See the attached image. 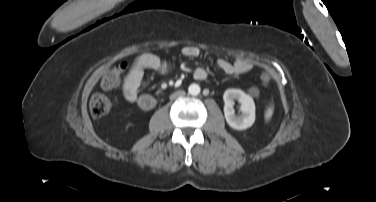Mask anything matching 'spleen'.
Wrapping results in <instances>:
<instances>
[{
	"instance_id": "1",
	"label": "spleen",
	"mask_w": 376,
	"mask_h": 202,
	"mask_svg": "<svg viewBox=\"0 0 376 202\" xmlns=\"http://www.w3.org/2000/svg\"><path fill=\"white\" fill-rule=\"evenodd\" d=\"M272 114V108H269L266 112V118L270 117Z\"/></svg>"
}]
</instances>
